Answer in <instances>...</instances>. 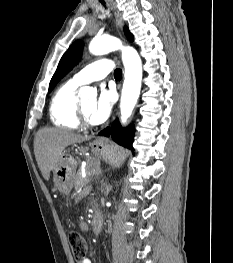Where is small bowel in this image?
Listing matches in <instances>:
<instances>
[{
  "instance_id": "obj_1",
  "label": "small bowel",
  "mask_w": 233,
  "mask_h": 263,
  "mask_svg": "<svg viewBox=\"0 0 233 263\" xmlns=\"http://www.w3.org/2000/svg\"><path fill=\"white\" fill-rule=\"evenodd\" d=\"M79 263H92V262H91V260L89 258H84Z\"/></svg>"
}]
</instances>
